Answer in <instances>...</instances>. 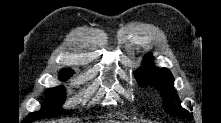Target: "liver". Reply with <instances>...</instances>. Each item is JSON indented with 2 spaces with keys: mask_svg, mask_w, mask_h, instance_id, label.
Wrapping results in <instances>:
<instances>
[{
  "mask_svg": "<svg viewBox=\"0 0 221 123\" xmlns=\"http://www.w3.org/2000/svg\"><path fill=\"white\" fill-rule=\"evenodd\" d=\"M111 123H120V122H111Z\"/></svg>",
  "mask_w": 221,
  "mask_h": 123,
  "instance_id": "6515ba94",
  "label": "liver"
}]
</instances>
